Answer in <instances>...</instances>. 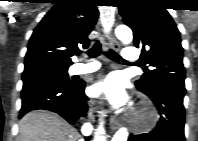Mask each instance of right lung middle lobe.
<instances>
[{"mask_svg":"<svg viewBox=\"0 0 198 141\" xmlns=\"http://www.w3.org/2000/svg\"><path fill=\"white\" fill-rule=\"evenodd\" d=\"M68 67L65 68H42L33 71L24 72L22 75L23 82L39 79H52L65 84L72 83L69 79Z\"/></svg>","mask_w":198,"mask_h":141,"instance_id":"dd1d6c3e","label":"right lung middle lobe"}]
</instances>
